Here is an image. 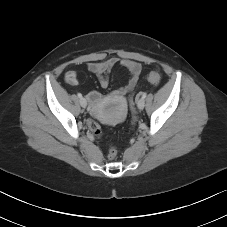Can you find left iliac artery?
I'll return each mask as SVG.
<instances>
[{
	"label": "left iliac artery",
	"instance_id": "left-iliac-artery-1",
	"mask_svg": "<svg viewBox=\"0 0 227 227\" xmlns=\"http://www.w3.org/2000/svg\"><path fill=\"white\" fill-rule=\"evenodd\" d=\"M147 96L146 93H142V98L144 99Z\"/></svg>",
	"mask_w": 227,
	"mask_h": 227
}]
</instances>
